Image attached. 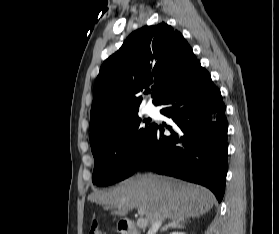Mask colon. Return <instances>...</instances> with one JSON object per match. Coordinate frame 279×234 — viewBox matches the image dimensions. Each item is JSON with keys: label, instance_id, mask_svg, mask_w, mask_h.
<instances>
[{"label": "colon", "instance_id": "colon-1", "mask_svg": "<svg viewBox=\"0 0 279 234\" xmlns=\"http://www.w3.org/2000/svg\"><path fill=\"white\" fill-rule=\"evenodd\" d=\"M87 234H106L105 228L98 221H94L89 229Z\"/></svg>", "mask_w": 279, "mask_h": 234}]
</instances>
